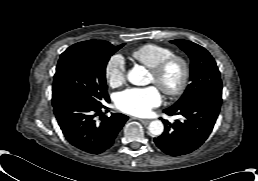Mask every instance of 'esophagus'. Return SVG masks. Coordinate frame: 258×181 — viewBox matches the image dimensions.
I'll list each match as a JSON object with an SVG mask.
<instances>
[{
    "label": "esophagus",
    "instance_id": "1",
    "mask_svg": "<svg viewBox=\"0 0 258 181\" xmlns=\"http://www.w3.org/2000/svg\"><path fill=\"white\" fill-rule=\"evenodd\" d=\"M141 122L144 124H148L151 122V119H141Z\"/></svg>",
    "mask_w": 258,
    "mask_h": 181
}]
</instances>
